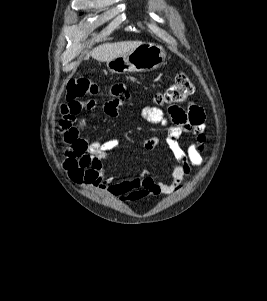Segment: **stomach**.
Here are the masks:
<instances>
[{
	"label": "stomach",
	"instance_id": "0dacf381",
	"mask_svg": "<svg viewBox=\"0 0 267 301\" xmlns=\"http://www.w3.org/2000/svg\"><path fill=\"white\" fill-rule=\"evenodd\" d=\"M165 58L162 46L143 43L123 56L107 61V68L116 74L148 72L161 67Z\"/></svg>",
	"mask_w": 267,
	"mask_h": 301
}]
</instances>
